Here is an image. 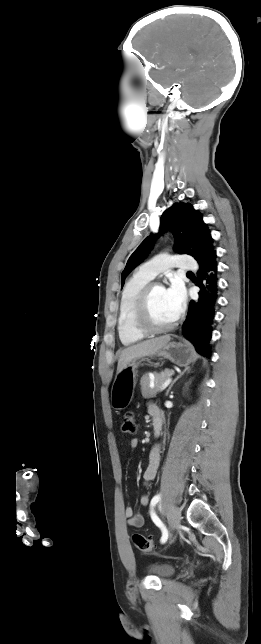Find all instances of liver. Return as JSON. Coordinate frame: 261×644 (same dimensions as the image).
<instances>
[{"mask_svg":"<svg viewBox=\"0 0 261 644\" xmlns=\"http://www.w3.org/2000/svg\"><path fill=\"white\" fill-rule=\"evenodd\" d=\"M170 340V335H164L123 349L118 360L117 374L120 373L131 360L155 354Z\"/></svg>","mask_w":261,"mask_h":644,"instance_id":"6515ba94","label":"liver"}]
</instances>
